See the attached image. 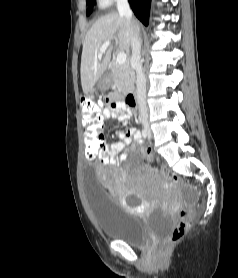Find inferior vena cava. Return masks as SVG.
Returning a JSON list of instances; mask_svg holds the SVG:
<instances>
[{
	"mask_svg": "<svg viewBox=\"0 0 238 278\" xmlns=\"http://www.w3.org/2000/svg\"><path fill=\"white\" fill-rule=\"evenodd\" d=\"M117 9L120 15L124 16L131 26L132 11L130 9L128 0H116ZM131 47L132 58L131 61L136 71V97L139 105V111L142 123L148 127V107L146 102V78L144 75L141 63V40L137 31L131 26Z\"/></svg>",
	"mask_w": 238,
	"mask_h": 278,
	"instance_id": "1",
	"label": "inferior vena cava"
}]
</instances>
